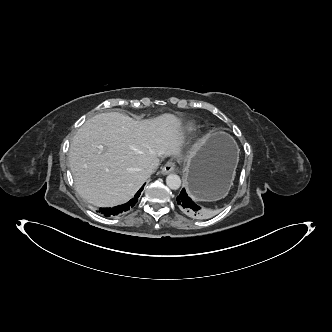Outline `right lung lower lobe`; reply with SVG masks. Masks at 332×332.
Segmentation results:
<instances>
[{
    "label": "right lung lower lobe",
    "mask_w": 332,
    "mask_h": 332,
    "mask_svg": "<svg viewBox=\"0 0 332 332\" xmlns=\"http://www.w3.org/2000/svg\"><path fill=\"white\" fill-rule=\"evenodd\" d=\"M143 190V187L140 188V190L135 194V197L132 198L129 202L113 207V208H100V212L105 215L106 217L118 215L120 213H123L130 208H132L138 201V198Z\"/></svg>",
    "instance_id": "1"
}]
</instances>
